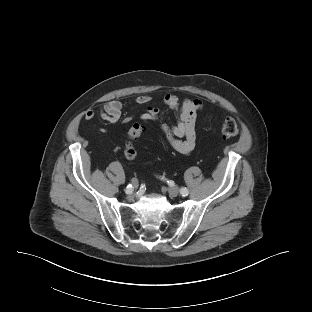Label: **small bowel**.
Segmentation results:
<instances>
[{"label":"small bowel","instance_id":"1","mask_svg":"<svg viewBox=\"0 0 312 312\" xmlns=\"http://www.w3.org/2000/svg\"><path fill=\"white\" fill-rule=\"evenodd\" d=\"M152 98L149 95H140L135 98V104L143 106L141 120L155 121L163 117L164 112L156 106L150 105ZM163 103L168 110L175 112L177 121L173 126L165 123L161 124L160 129L171 147L180 154H190L196 145L197 133L196 123L198 113L203 108L200 99L186 98L182 102L172 93H167L163 97ZM127 107L125 102L120 100H110L99 108V116L108 123H117L122 119L123 110ZM95 116L93 110H86L83 118L87 121ZM132 121L131 116L122 119L124 124Z\"/></svg>","mask_w":312,"mask_h":312}]
</instances>
